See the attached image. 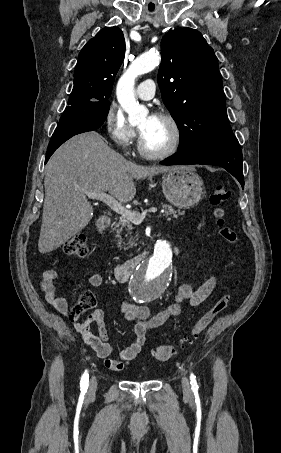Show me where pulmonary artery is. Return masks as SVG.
I'll return each instance as SVG.
<instances>
[{"label": "pulmonary artery", "mask_w": 281, "mask_h": 453, "mask_svg": "<svg viewBox=\"0 0 281 453\" xmlns=\"http://www.w3.org/2000/svg\"><path fill=\"white\" fill-rule=\"evenodd\" d=\"M154 85L155 82L151 79H147L141 82L135 90V95L141 99L150 100L154 96V92L145 91V89Z\"/></svg>", "instance_id": "e3ab8cb5"}]
</instances>
